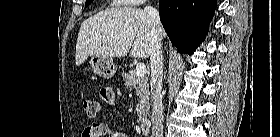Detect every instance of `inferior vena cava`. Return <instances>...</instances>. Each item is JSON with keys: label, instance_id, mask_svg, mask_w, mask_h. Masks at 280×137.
I'll return each mask as SVG.
<instances>
[{"label": "inferior vena cava", "instance_id": "obj_1", "mask_svg": "<svg viewBox=\"0 0 280 137\" xmlns=\"http://www.w3.org/2000/svg\"><path fill=\"white\" fill-rule=\"evenodd\" d=\"M144 11L152 22V43L150 52L151 67V106H152V135L151 137H163V105H162V72L163 56L161 34L162 27L157 9L146 6Z\"/></svg>", "mask_w": 280, "mask_h": 137}]
</instances>
